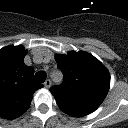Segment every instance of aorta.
Here are the masks:
<instances>
[{
	"instance_id": "aorta-1",
	"label": "aorta",
	"mask_w": 128,
	"mask_h": 128,
	"mask_svg": "<svg viewBox=\"0 0 128 128\" xmlns=\"http://www.w3.org/2000/svg\"><path fill=\"white\" fill-rule=\"evenodd\" d=\"M52 78H53V81L59 85L62 83L63 81V75L62 73L59 71V70H54L53 73H52Z\"/></svg>"
}]
</instances>
